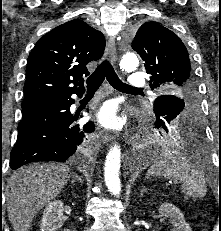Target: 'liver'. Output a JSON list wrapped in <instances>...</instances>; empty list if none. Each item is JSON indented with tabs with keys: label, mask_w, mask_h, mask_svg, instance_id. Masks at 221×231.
<instances>
[{
	"label": "liver",
	"mask_w": 221,
	"mask_h": 231,
	"mask_svg": "<svg viewBox=\"0 0 221 231\" xmlns=\"http://www.w3.org/2000/svg\"><path fill=\"white\" fill-rule=\"evenodd\" d=\"M69 178L64 164H33L14 172L4 189L14 231H29L37 213L58 196Z\"/></svg>",
	"instance_id": "1"
}]
</instances>
